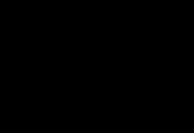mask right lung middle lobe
I'll list each match as a JSON object with an SVG mask.
<instances>
[{
	"mask_svg": "<svg viewBox=\"0 0 194 133\" xmlns=\"http://www.w3.org/2000/svg\"><path fill=\"white\" fill-rule=\"evenodd\" d=\"M70 5L62 0H42L41 2L24 8L11 21L9 29H16L24 25L55 24L66 26Z\"/></svg>",
	"mask_w": 194,
	"mask_h": 133,
	"instance_id": "right-lung-middle-lobe-1",
	"label": "right lung middle lobe"
}]
</instances>
